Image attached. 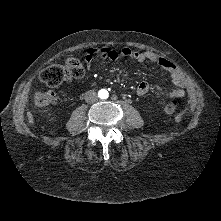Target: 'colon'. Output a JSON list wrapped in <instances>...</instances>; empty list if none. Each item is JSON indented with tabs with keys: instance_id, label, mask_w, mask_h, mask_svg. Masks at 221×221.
I'll use <instances>...</instances> for the list:
<instances>
[{
	"instance_id": "5ec220e1",
	"label": "colon",
	"mask_w": 221,
	"mask_h": 221,
	"mask_svg": "<svg viewBox=\"0 0 221 221\" xmlns=\"http://www.w3.org/2000/svg\"><path fill=\"white\" fill-rule=\"evenodd\" d=\"M85 68L81 60L76 57L66 59L63 65H51L40 73V80L48 87H56L65 81L81 78ZM33 101L40 112L47 111L56 101V95L51 90H38L34 93ZM179 106L177 98L172 99L164 107L167 115L174 114Z\"/></svg>"
}]
</instances>
